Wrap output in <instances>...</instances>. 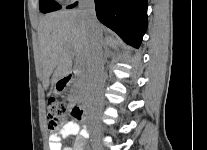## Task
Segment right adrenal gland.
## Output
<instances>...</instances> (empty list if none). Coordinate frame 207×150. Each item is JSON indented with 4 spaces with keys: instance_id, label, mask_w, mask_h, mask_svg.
Returning a JSON list of instances; mask_svg holds the SVG:
<instances>
[{
    "instance_id": "2a0ac1e0",
    "label": "right adrenal gland",
    "mask_w": 207,
    "mask_h": 150,
    "mask_svg": "<svg viewBox=\"0 0 207 150\" xmlns=\"http://www.w3.org/2000/svg\"><path fill=\"white\" fill-rule=\"evenodd\" d=\"M114 53L111 51L110 48H108V46H105V52H104V62L107 61V58L113 56Z\"/></svg>"
}]
</instances>
